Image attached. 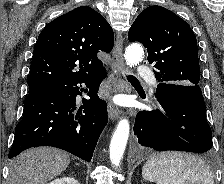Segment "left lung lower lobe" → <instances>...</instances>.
<instances>
[{
	"label": "left lung lower lobe",
	"instance_id": "left-lung-lower-lobe-1",
	"mask_svg": "<svg viewBox=\"0 0 224 184\" xmlns=\"http://www.w3.org/2000/svg\"><path fill=\"white\" fill-rule=\"evenodd\" d=\"M157 109L138 112L134 134L138 143L156 151L204 153L212 148L211 129L198 85L160 82Z\"/></svg>",
	"mask_w": 224,
	"mask_h": 184
}]
</instances>
